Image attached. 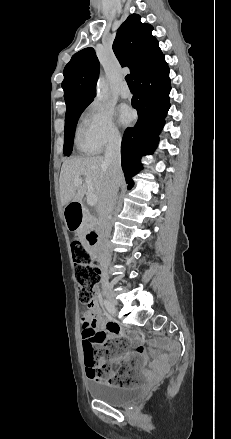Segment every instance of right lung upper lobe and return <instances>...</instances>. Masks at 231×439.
I'll return each instance as SVG.
<instances>
[{"instance_id":"obj_1","label":"right lung upper lobe","mask_w":231,"mask_h":439,"mask_svg":"<svg viewBox=\"0 0 231 439\" xmlns=\"http://www.w3.org/2000/svg\"><path fill=\"white\" fill-rule=\"evenodd\" d=\"M153 27L130 15L120 26L113 42V51L122 67H129L133 78L153 67L164 55ZM62 88L67 109L93 101L99 75V61L92 47L75 53L64 68Z\"/></svg>"}]
</instances>
